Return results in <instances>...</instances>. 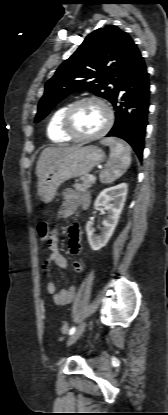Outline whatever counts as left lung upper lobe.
<instances>
[{"label": "left lung upper lobe", "instance_id": "5c2ea615", "mask_svg": "<svg viewBox=\"0 0 168 415\" xmlns=\"http://www.w3.org/2000/svg\"><path fill=\"white\" fill-rule=\"evenodd\" d=\"M139 54L131 37L117 26L93 31L45 84L35 122L74 92L89 91L111 102Z\"/></svg>", "mask_w": 168, "mask_h": 415}]
</instances>
